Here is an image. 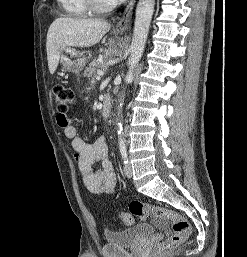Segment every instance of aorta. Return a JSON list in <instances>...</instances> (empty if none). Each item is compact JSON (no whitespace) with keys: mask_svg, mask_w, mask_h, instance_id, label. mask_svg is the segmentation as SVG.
<instances>
[{"mask_svg":"<svg viewBox=\"0 0 247 257\" xmlns=\"http://www.w3.org/2000/svg\"><path fill=\"white\" fill-rule=\"evenodd\" d=\"M155 0H139L136 8L133 37L130 46V58L128 60V73L126 82H132L134 69L138 65L146 44L150 23L154 12ZM120 106H122L120 104ZM120 114V111H119ZM118 135H123L122 123H118Z\"/></svg>","mask_w":247,"mask_h":257,"instance_id":"aorta-1","label":"aorta"}]
</instances>
